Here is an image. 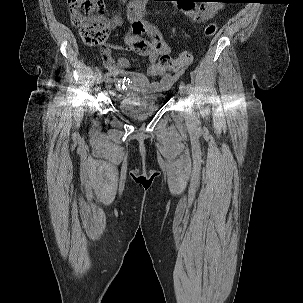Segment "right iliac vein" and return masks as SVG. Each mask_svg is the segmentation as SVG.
<instances>
[{
    "label": "right iliac vein",
    "instance_id": "63e3f726",
    "mask_svg": "<svg viewBox=\"0 0 303 303\" xmlns=\"http://www.w3.org/2000/svg\"><path fill=\"white\" fill-rule=\"evenodd\" d=\"M105 86L107 89H110L112 86V79L108 78L107 80H105Z\"/></svg>",
    "mask_w": 303,
    "mask_h": 303
}]
</instances>
